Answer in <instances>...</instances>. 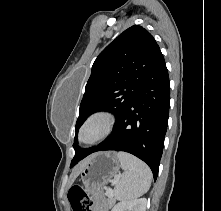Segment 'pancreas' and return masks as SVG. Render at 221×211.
I'll return each mask as SVG.
<instances>
[{
  "label": "pancreas",
  "instance_id": "obj_1",
  "mask_svg": "<svg viewBox=\"0 0 221 211\" xmlns=\"http://www.w3.org/2000/svg\"><path fill=\"white\" fill-rule=\"evenodd\" d=\"M112 194H113V192H112ZM106 195H107V192H106ZM114 204H115V198H114V194H113V197L108 198V206L112 207Z\"/></svg>",
  "mask_w": 221,
  "mask_h": 211
}]
</instances>
